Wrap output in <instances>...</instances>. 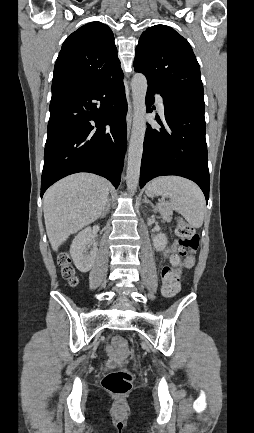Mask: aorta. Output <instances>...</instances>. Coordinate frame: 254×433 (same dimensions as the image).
I'll use <instances>...</instances> for the list:
<instances>
[{
    "label": "aorta",
    "instance_id": "1",
    "mask_svg": "<svg viewBox=\"0 0 254 433\" xmlns=\"http://www.w3.org/2000/svg\"><path fill=\"white\" fill-rule=\"evenodd\" d=\"M147 79L142 73H136L131 81L133 98V124L130 144L128 149V162L126 172V184L129 192L137 189L140 177L141 159L143 154V142L146 132V92Z\"/></svg>",
    "mask_w": 254,
    "mask_h": 433
}]
</instances>
